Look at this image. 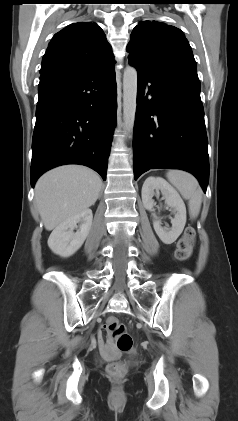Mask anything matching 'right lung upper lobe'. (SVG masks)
Masks as SVG:
<instances>
[{
    "label": "right lung upper lobe",
    "mask_w": 238,
    "mask_h": 421,
    "mask_svg": "<svg viewBox=\"0 0 238 421\" xmlns=\"http://www.w3.org/2000/svg\"><path fill=\"white\" fill-rule=\"evenodd\" d=\"M115 60L102 28L94 22L73 23L52 38L43 56L40 73L106 70Z\"/></svg>",
    "instance_id": "obj_1"
}]
</instances>
